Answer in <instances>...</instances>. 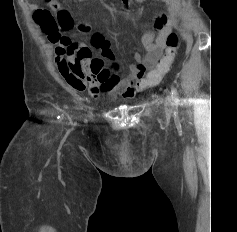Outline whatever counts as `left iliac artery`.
I'll list each match as a JSON object with an SVG mask.
<instances>
[{
	"instance_id": "44dca946",
	"label": "left iliac artery",
	"mask_w": 237,
	"mask_h": 232,
	"mask_svg": "<svg viewBox=\"0 0 237 232\" xmlns=\"http://www.w3.org/2000/svg\"><path fill=\"white\" fill-rule=\"evenodd\" d=\"M171 94H172V105L176 109L179 104V97L178 92L174 86L171 87Z\"/></svg>"
}]
</instances>
